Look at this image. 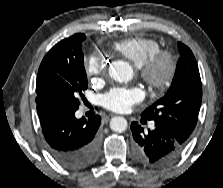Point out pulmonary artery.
Here are the masks:
<instances>
[{
    "instance_id": "e3ab8cb5",
    "label": "pulmonary artery",
    "mask_w": 223,
    "mask_h": 188,
    "mask_svg": "<svg viewBox=\"0 0 223 188\" xmlns=\"http://www.w3.org/2000/svg\"><path fill=\"white\" fill-rule=\"evenodd\" d=\"M153 127H154V123H151V124H150V128H153Z\"/></svg>"
}]
</instances>
